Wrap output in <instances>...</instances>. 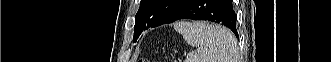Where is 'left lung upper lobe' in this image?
<instances>
[{
    "instance_id": "5c2ea615",
    "label": "left lung upper lobe",
    "mask_w": 331,
    "mask_h": 62,
    "mask_svg": "<svg viewBox=\"0 0 331 62\" xmlns=\"http://www.w3.org/2000/svg\"><path fill=\"white\" fill-rule=\"evenodd\" d=\"M184 0H141L135 16L134 35L143 25L157 27L164 24Z\"/></svg>"
}]
</instances>
